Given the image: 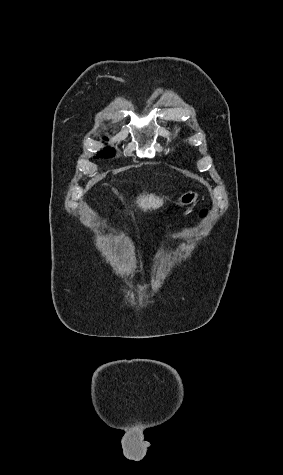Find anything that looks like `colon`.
I'll return each instance as SVG.
<instances>
[{
	"label": "colon",
	"mask_w": 283,
	"mask_h": 475,
	"mask_svg": "<svg viewBox=\"0 0 283 475\" xmlns=\"http://www.w3.org/2000/svg\"><path fill=\"white\" fill-rule=\"evenodd\" d=\"M206 214H207V209H202V210H201V215H202V216H205Z\"/></svg>",
	"instance_id": "1"
}]
</instances>
